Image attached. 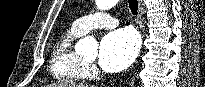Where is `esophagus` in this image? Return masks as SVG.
Segmentation results:
<instances>
[{
  "instance_id": "1",
  "label": "esophagus",
  "mask_w": 205,
  "mask_h": 87,
  "mask_svg": "<svg viewBox=\"0 0 205 87\" xmlns=\"http://www.w3.org/2000/svg\"><path fill=\"white\" fill-rule=\"evenodd\" d=\"M141 3H142V0H138V5H139V16H141V13H140Z\"/></svg>"
}]
</instances>
